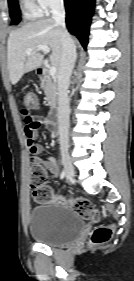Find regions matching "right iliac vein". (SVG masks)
Returning <instances> with one entry per match:
<instances>
[{"instance_id": "obj_1", "label": "right iliac vein", "mask_w": 134, "mask_h": 281, "mask_svg": "<svg viewBox=\"0 0 134 281\" xmlns=\"http://www.w3.org/2000/svg\"><path fill=\"white\" fill-rule=\"evenodd\" d=\"M61 155H62V162L64 165L66 178L68 181L72 182L75 175V171L70 156L68 154V149L66 147H63L61 149Z\"/></svg>"}]
</instances>
